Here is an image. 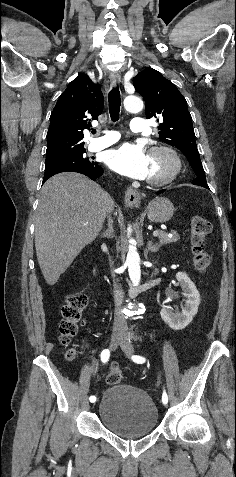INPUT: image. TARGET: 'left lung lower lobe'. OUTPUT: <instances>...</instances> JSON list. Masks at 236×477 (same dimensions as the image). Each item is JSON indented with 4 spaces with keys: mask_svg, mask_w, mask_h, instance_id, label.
<instances>
[{
    "mask_svg": "<svg viewBox=\"0 0 236 477\" xmlns=\"http://www.w3.org/2000/svg\"><path fill=\"white\" fill-rule=\"evenodd\" d=\"M204 188H206V189H209V187H208V186H206V187H204ZM163 191H164V190H163ZM163 191H161V192H163ZM161 192H160V193H161Z\"/></svg>",
    "mask_w": 236,
    "mask_h": 477,
    "instance_id": "1",
    "label": "left lung lower lobe"
}]
</instances>
